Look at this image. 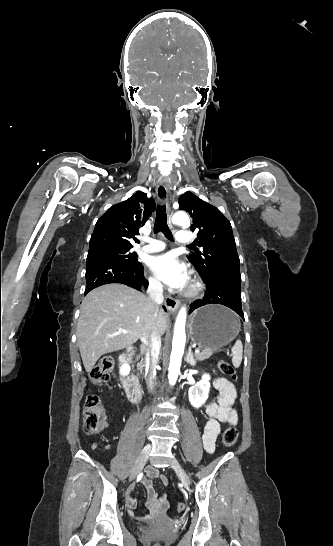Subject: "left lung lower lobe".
I'll list each match as a JSON object with an SVG mask.
<instances>
[{
  "mask_svg": "<svg viewBox=\"0 0 333 546\" xmlns=\"http://www.w3.org/2000/svg\"><path fill=\"white\" fill-rule=\"evenodd\" d=\"M205 295L202 299L194 301L190 305L189 312L207 304H222L234 310L243 319L241 308V275L240 270L233 269L216 273L208 280Z\"/></svg>",
  "mask_w": 333,
  "mask_h": 546,
  "instance_id": "obj_1",
  "label": "left lung lower lobe"
}]
</instances>
